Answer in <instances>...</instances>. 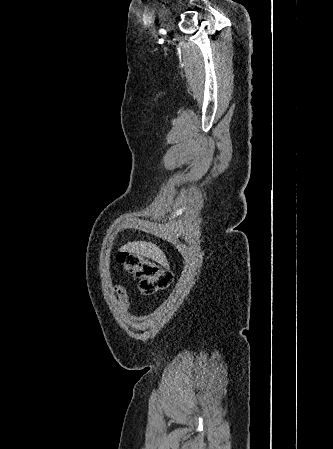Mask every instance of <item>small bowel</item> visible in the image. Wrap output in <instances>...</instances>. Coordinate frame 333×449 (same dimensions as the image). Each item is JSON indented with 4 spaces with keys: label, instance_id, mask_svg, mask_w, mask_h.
Wrapping results in <instances>:
<instances>
[{
    "label": "small bowel",
    "instance_id": "small-bowel-1",
    "mask_svg": "<svg viewBox=\"0 0 333 449\" xmlns=\"http://www.w3.org/2000/svg\"><path fill=\"white\" fill-rule=\"evenodd\" d=\"M111 291L116 296L119 308L122 311H126L129 307V298L126 289L121 285H114Z\"/></svg>",
    "mask_w": 333,
    "mask_h": 449
}]
</instances>
